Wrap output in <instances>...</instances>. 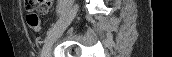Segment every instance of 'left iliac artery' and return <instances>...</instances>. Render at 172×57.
<instances>
[{"label": "left iliac artery", "instance_id": "1", "mask_svg": "<svg viewBox=\"0 0 172 57\" xmlns=\"http://www.w3.org/2000/svg\"><path fill=\"white\" fill-rule=\"evenodd\" d=\"M60 24H61V19H59V20L56 22V24H55L51 29H49V31L47 32V37H46V39L49 38V37L52 35V33L54 32V30H55L57 27H59ZM46 39H45V40H46Z\"/></svg>", "mask_w": 172, "mask_h": 57}]
</instances>
